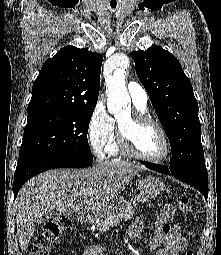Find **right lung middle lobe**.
I'll use <instances>...</instances> for the list:
<instances>
[{
    "instance_id": "obj_1",
    "label": "right lung middle lobe",
    "mask_w": 221,
    "mask_h": 255,
    "mask_svg": "<svg viewBox=\"0 0 221 255\" xmlns=\"http://www.w3.org/2000/svg\"><path fill=\"white\" fill-rule=\"evenodd\" d=\"M94 109L28 112L19 155L33 152L93 162L87 133Z\"/></svg>"
}]
</instances>
